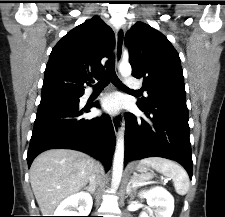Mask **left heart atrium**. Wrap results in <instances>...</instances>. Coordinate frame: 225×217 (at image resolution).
<instances>
[{"label":"left heart atrium","mask_w":225,"mask_h":217,"mask_svg":"<svg viewBox=\"0 0 225 217\" xmlns=\"http://www.w3.org/2000/svg\"><path fill=\"white\" fill-rule=\"evenodd\" d=\"M122 108V99L117 93L104 96L101 100V109L108 114H117Z\"/></svg>","instance_id":"obj_1"}]
</instances>
